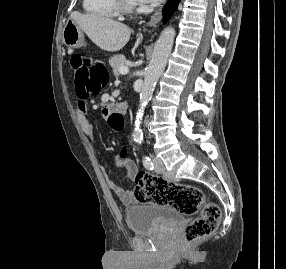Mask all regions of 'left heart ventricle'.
I'll return each instance as SVG.
<instances>
[{
	"label": "left heart ventricle",
	"mask_w": 286,
	"mask_h": 269,
	"mask_svg": "<svg viewBox=\"0 0 286 269\" xmlns=\"http://www.w3.org/2000/svg\"><path fill=\"white\" fill-rule=\"evenodd\" d=\"M129 1L136 3L135 0H129Z\"/></svg>",
	"instance_id": "1"
}]
</instances>
